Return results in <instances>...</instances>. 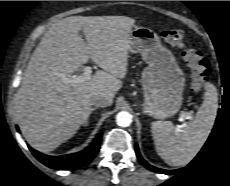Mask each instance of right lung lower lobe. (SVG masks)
Here are the masks:
<instances>
[{
	"label": "right lung lower lobe",
	"instance_id": "obj_1",
	"mask_svg": "<svg viewBox=\"0 0 230 186\" xmlns=\"http://www.w3.org/2000/svg\"><path fill=\"white\" fill-rule=\"evenodd\" d=\"M102 134L100 133L94 142L85 150L78 153L63 156H48L40 153L31 147L29 149L33 155L49 168L58 170L75 169L88 164L98 153Z\"/></svg>",
	"mask_w": 230,
	"mask_h": 186
}]
</instances>
